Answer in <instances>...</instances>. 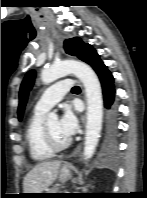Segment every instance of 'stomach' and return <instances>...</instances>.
Segmentation results:
<instances>
[{
  "instance_id": "obj_1",
  "label": "stomach",
  "mask_w": 147,
  "mask_h": 198,
  "mask_svg": "<svg viewBox=\"0 0 147 198\" xmlns=\"http://www.w3.org/2000/svg\"><path fill=\"white\" fill-rule=\"evenodd\" d=\"M71 177V169L67 166H64L61 168L59 171V180L61 182L67 181ZM42 196H37V197H49L53 193H59L57 192V189H47L45 192H42Z\"/></svg>"
}]
</instances>
